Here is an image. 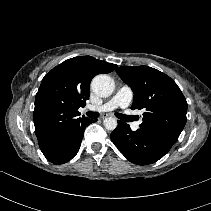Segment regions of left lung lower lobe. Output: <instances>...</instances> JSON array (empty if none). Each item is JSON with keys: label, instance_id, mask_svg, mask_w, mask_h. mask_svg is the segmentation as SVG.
<instances>
[{"label": "left lung lower lobe", "instance_id": "1", "mask_svg": "<svg viewBox=\"0 0 211 211\" xmlns=\"http://www.w3.org/2000/svg\"><path fill=\"white\" fill-rule=\"evenodd\" d=\"M110 138L119 151L137 165L152 164L169 151L147 133L140 129L132 131L130 126L122 121H118V126Z\"/></svg>", "mask_w": 211, "mask_h": 211}]
</instances>
